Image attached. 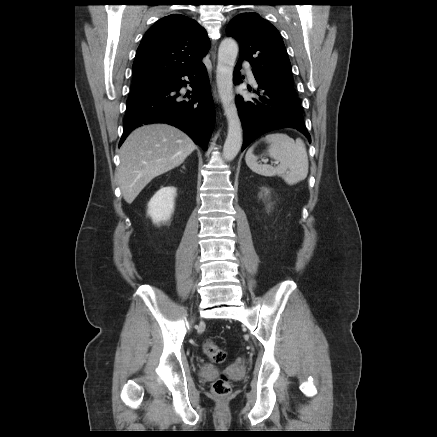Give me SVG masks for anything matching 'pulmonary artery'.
<instances>
[{
  "instance_id": "1",
  "label": "pulmonary artery",
  "mask_w": 437,
  "mask_h": 437,
  "mask_svg": "<svg viewBox=\"0 0 437 437\" xmlns=\"http://www.w3.org/2000/svg\"><path fill=\"white\" fill-rule=\"evenodd\" d=\"M247 73H248L250 80L254 81V75H253L252 71L250 69H248Z\"/></svg>"
}]
</instances>
